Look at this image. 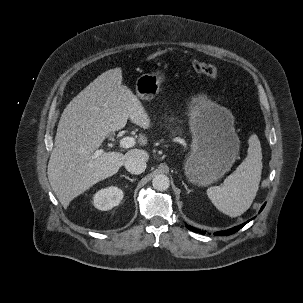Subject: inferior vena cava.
<instances>
[{
    "mask_svg": "<svg viewBox=\"0 0 303 303\" xmlns=\"http://www.w3.org/2000/svg\"><path fill=\"white\" fill-rule=\"evenodd\" d=\"M125 168L132 174H141L146 169V161L141 157H131L124 162Z\"/></svg>",
    "mask_w": 303,
    "mask_h": 303,
    "instance_id": "1",
    "label": "inferior vena cava"
}]
</instances>
